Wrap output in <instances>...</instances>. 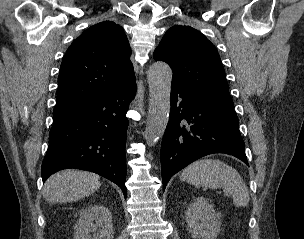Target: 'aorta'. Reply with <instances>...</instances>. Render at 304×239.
I'll use <instances>...</instances> for the list:
<instances>
[{"label":"aorta","instance_id":"762f6f07","mask_svg":"<svg viewBox=\"0 0 304 239\" xmlns=\"http://www.w3.org/2000/svg\"><path fill=\"white\" fill-rule=\"evenodd\" d=\"M149 84V109L145 138L154 145L164 134L170 112L172 70L168 64L154 62L147 74Z\"/></svg>","mask_w":304,"mask_h":239}]
</instances>
